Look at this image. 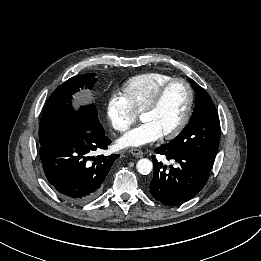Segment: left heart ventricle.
I'll return each instance as SVG.
<instances>
[{
	"mask_svg": "<svg viewBox=\"0 0 261 261\" xmlns=\"http://www.w3.org/2000/svg\"><path fill=\"white\" fill-rule=\"evenodd\" d=\"M188 92L183 84L173 85L166 93L159 109L142 116V122L152 125L161 135L173 130L186 110Z\"/></svg>",
	"mask_w": 261,
	"mask_h": 261,
	"instance_id": "left-heart-ventricle-1",
	"label": "left heart ventricle"
}]
</instances>
